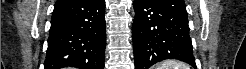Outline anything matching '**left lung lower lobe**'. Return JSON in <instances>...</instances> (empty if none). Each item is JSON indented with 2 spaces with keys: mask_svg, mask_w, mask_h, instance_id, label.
<instances>
[{
  "mask_svg": "<svg viewBox=\"0 0 246 69\" xmlns=\"http://www.w3.org/2000/svg\"><path fill=\"white\" fill-rule=\"evenodd\" d=\"M133 51L136 69H149L165 59L196 68L188 19L159 0H134Z\"/></svg>",
  "mask_w": 246,
  "mask_h": 69,
  "instance_id": "obj_1",
  "label": "left lung lower lobe"
}]
</instances>
